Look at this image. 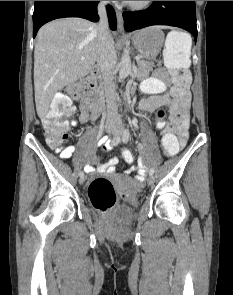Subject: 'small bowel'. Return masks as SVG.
Returning a JSON list of instances; mask_svg holds the SVG:
<instances>
[{
    "label": "small bowel",
    "instance_id": "small-bowel-1",
    "mask_svg": "<svg viewBox=\"0 0 233 295\" xmlns=\"http://www.w3.org/2000/svg\"><path fill=\"white\" fill-rule=\"evenodd\" d=\"M141 91L145 94H149L150 97L142 100L139 104V108L145 112L155 111L157 114L156 127L160 130L170 127L177 133L180 145H185L189 128L190 92L187 91L176 96L173 91L170 90L169 79L163 69H157L152 77L146 79L141 85ZM166 111L169 112L168 121L165 119ZM91 118L92 115L82 100L80 121L86 123ZM98 146H107L111 148L107 137H103L98 142ZM75 150L76 148L73 145L67 146L64 149H55L63 159L70 158ZM117 164L118 158L115 156L111 157L106 163H99L97 158L92 156L90 158V164L85 166V171L87 173L99 172L102 174L115 175ZM146 171L147 167L144 162L139 159L136 179L143 181Z\"/></svg>",
    "mask_w": 233,
    "mask_h": 295
}]
</instances>
